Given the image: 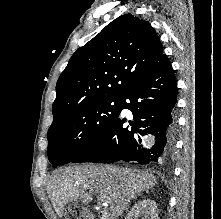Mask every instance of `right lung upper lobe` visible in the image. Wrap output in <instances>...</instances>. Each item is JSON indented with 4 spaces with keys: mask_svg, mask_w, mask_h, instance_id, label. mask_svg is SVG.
Returning <instances> with one entry per match:
<instances>
[{
    "mask_svg": "<svg viewBox=\"0 0 221 219\" xmlns=\"http://www.w3.org/2000/svg\"><path fill=\"white\" fill-rule=\"evenodd\" d=\"M164 56L149 22L124 14L70 58L56 84L53 122L98 100L120 99Z\"/></svg>",
    "mask_w": 221,
    "mask_h": 219,
    "instance_id": "1",
    "label": "right lung upper lobe"
}]
</instances>
